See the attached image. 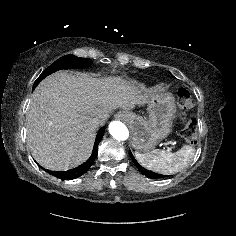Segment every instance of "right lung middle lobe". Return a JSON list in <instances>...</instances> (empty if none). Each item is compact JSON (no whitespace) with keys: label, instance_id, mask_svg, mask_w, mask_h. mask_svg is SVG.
Wrapping results in <instances>:
<instances>
[{"label":"right lung middle lobe","instance_id":"1","mask_svg":"<svg viewBox=\"0 0 236 236\" xmlns=\"http://www.w3.org/2000/svg\"><path fill=\"white\" fill-rule=\"evenodd\" d=\"M91 60L88 58H79L73 55H65L55 61L52 65H50L46 70L42 72V74L37 78L33 85V89L49 74L61 70V69H80L89 67L91 65Z\"/></svg>","mask_w":236,"mask_h":236}]
</instances>
